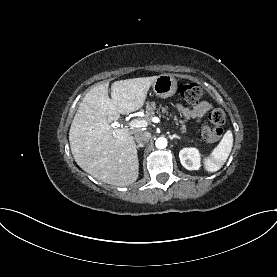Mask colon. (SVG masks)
<instances>
[{
    "label": "colon",
    "mask_w": 277,
    "mask_h": 277,
    "mask_svg": "<svg viewBox=\"0 0 277 277\" xmlns=\"http://www.w3.org/2000/svg\"><path fill=\"white\" fill-rule=\"evenodd\" d=\"M180 97L187 103H196L202 96L201 87L193 82L182 83L178 87ZM225 112L221 108H214L208 115V123L201 130V137L206 143H213L223 133L225 123Z\"/></svg>",
    "instance_id": "colon-1"
}]
</instances>
